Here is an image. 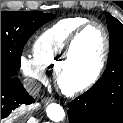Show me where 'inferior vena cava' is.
Wrapping results in <instances>:
<instances>
[{
  "label": "inferior vena cava",
  "instance_id": "inferior-vena-cava-1",
  "mask_svg": "<svg viewBox=\"0 0 123 123\" xmlns=\"http://www.w3.org/2000/svg\"><path fill=\"white\" fill-rule=\"evenodd\" d=\"M24 88L30 95L35 96L36 94H38L40 92L41 85L35 80L25 79L24 80Z\"/></svg>",
  "mask_w": 123,
  "mask_h": 123
}]
</instances>
